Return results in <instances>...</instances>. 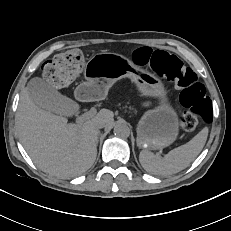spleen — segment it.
Wrapping results in <instances>:
<instances>
[{"mask_svg":"<svg viewBox=\"0 0 231 231\" xmlns=\"http://www.w3.org/2000/svg\"><path fill=\"white\" fill-rule=\"evenodd\" d=\"M208 136V128H203L186 144L171 150L164 157L155 155L148 150H142L139 161L150 174L168 176L178 173L188 167L203 149Z\"/></svg>","mask_w":231,"mask_h":231,"instance_id":"spleen-1","label":"spleen"}]
</instances>
